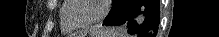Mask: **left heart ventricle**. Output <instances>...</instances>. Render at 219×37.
Masks as SVG:
<instances>
[{"label": "left heart ventricle", "mask_w": 219, "mask_h": 37, "mask_svg": "<svg viewBox=\"0 0 219 37\" xmlns=\"http://www.w3.org/2000/svg\"><path fill=\"white\" fill-rule=\"evenodd\" d=\"M100 8L98 0H75V5L70 10L68 17L71 21L83 23L95 18L99 14Z\"/></svg>", "instance_id": "left-heart-ventricle-1"}]
</instances>
